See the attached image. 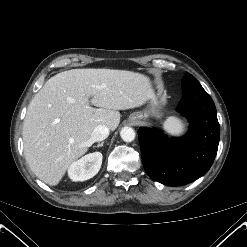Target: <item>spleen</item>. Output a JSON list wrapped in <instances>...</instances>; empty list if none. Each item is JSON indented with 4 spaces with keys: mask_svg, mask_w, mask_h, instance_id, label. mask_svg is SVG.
Wrapping results in <instances>:
<instances>
[{
    "mask_svg": "<svg viewBox=\"0 0 247 247\" xmlns=\"http://www.w3.org/2000/svg\"><path fill=\"white\" fill-rule=\"evenodd\" d=\"M164 129L172 135H181L185 130L184 123L177 117H168L163 124Z\"/></svg>",
    "mask_w": 247,
    "mask_h": 247,
    "instance_id": "3e777b00",
    "label": "spleen"
}]
</instances>
